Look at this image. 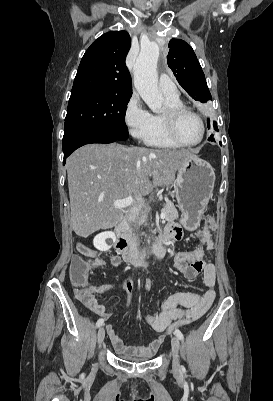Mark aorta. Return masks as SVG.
<instances>
[{"label": "aorta", "instance_id": "762f6f07", "mask_svg": "<svg viewBox=\"0 0 273 401\" xmlns=\"http://www.w3.org/2000/svg\"><path fill=\"white\" fill-rule=\"evenodd\" d=\"M159 47L149 43L141 47V51L134 65V85L143 101L154 112L162 108L163 97L157 86V61ZM150 241L148 240V243Z\"/></svg>", "mask_w": 273, "mask_h": 401}]
</instances>
